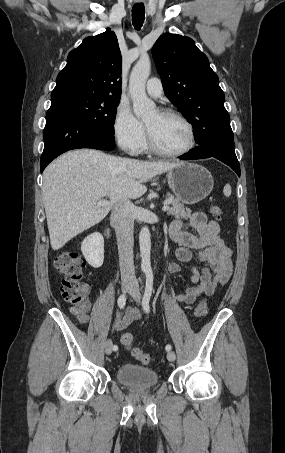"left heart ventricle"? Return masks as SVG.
<instances>
[{
  "instance_id": "1",
  "label": "left heart ventricle",
  "mask_w": 285,
  "mask_h": 453,
  "mask_svg": "<svg viewBox=\"0 0 285 453\" xmlns=\"http://www.w3.org/2000/svg\"><path fill=\"white\" fill-rule=\"evenodd\" d=\"M145 126L155 142L164 150L180 151L189 144L188 128L177 118L161 116L154 112L145 120Z\"/></svg>"
}]
</instances>
